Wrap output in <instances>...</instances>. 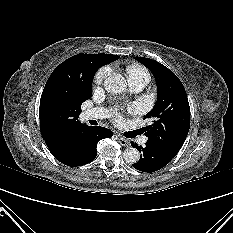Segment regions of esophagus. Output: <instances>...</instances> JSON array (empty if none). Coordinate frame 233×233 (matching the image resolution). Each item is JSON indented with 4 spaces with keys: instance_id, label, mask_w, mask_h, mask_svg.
Returning a JSON list of instances; mask_svg holds the SVG:
<instances>
[{
    "instance_id": "34e87169",
    "label": "esophagus",
    "mask_w": 233,
    "mask_h": 233,
    "mask_svg": "<svg viewBox=\"0 0 233 233\" xmlns=\"http://www.w3.org/2000/svg\"><path fill=\"white\" fill-rule=\"evenodd\" d=\"M118 141H119V143H120L122 146H124V147H129V146H130L129 140L126 139V138H124V137H122V136H119V137H118Z\"/></svg>"
}]
</instances>
